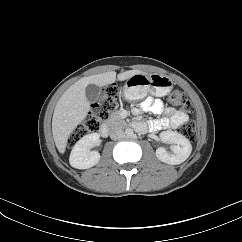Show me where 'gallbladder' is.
Here are the masks:
<instances>
[{"label": "gallbladder", "instance_id": "obj_1", "mask_svg": "<svg viewBox=\"0 0 242 242\" xmlns=\"http://www.w3.org/2000/svg\"><path fill=\"white\" fill-rule=\"evenodd\" d=\"M87 100L90 102H96L100 95V88L95 84H89L85 90Z\"/></svg>", "mask_w": 242, "mask_h": 242}]
</instances>
